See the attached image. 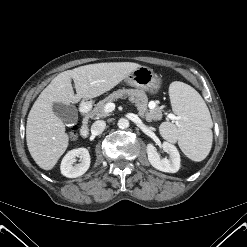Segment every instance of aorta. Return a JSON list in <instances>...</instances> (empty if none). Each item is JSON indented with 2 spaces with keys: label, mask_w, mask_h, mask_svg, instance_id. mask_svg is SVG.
Masks as SVG:
<instances>
[{
  "label": "aorta",
  "mask_w": 247,
  "mask_h": 247,
  "mask_svg": "<svg viewBox=\"0 0 247 247\" xmlns=\"http://www.w3.org/2000/svg\"><path fill=\"white\" fill-rule=\"evenodd\" d=\"M118 126L121 129L128 128L129 127V121L127 119H125V118H121L118 121Z\"/></svg>",
  "instance_id": "1"
}]
</instances>
